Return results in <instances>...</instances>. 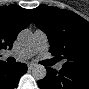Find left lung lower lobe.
<instances>
[{"mask_svg": "<svg viewBox=\"0 0 89 89\" xmlns=\"http://www.w3.org/2000/svg\"><path fill=\"white\" fill-rule=\"evenodd\" d=\"M46 69V77L38 81L41 89H89V72Z\"/></svg>", "mask_w": 89, "mask_h": 89, "instance_id": "obj_1", "label": "left lung lower lobe"}]
</instances>
